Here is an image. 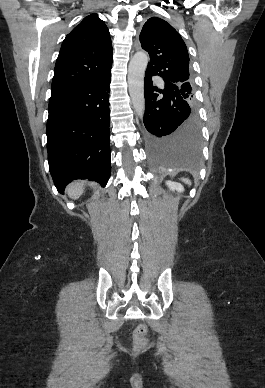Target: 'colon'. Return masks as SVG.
Here are the masks:
<instances>
[{"label": "colon", "mask_w": 265, "mask_h": 388, "mask_svg": "<svg viewBox=\"0 0 265 388\" xmlns=\"http://www.w3.org/2000/svg\"><path fill=\"white\" fill-rule=\"evenodd\" d=\"M148 331L146 324H140L134 330V341L137 346L141 347L146 343L145 335Z\"/></svg>", "instance_id": "colon-1"}]
</instances>
